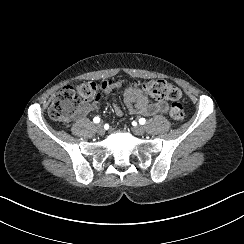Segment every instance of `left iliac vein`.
Returning <instances> with one entry per match:
<instances>
[{
  "instance_id": "obj_1",
  "label": "left iliac vein",
  "mask_w": 244,
  "mask_h": 244,
  "mask_svg": "<svg viewBox=\"0 0 244 244\" xmlns=\"http://www.w3.org/2000/svg\"><path fill=\"white\" fill-rule=\"evenodd\" d=\"M132 131L134 132L135 135L142 136L145 133V128L141 125H138V126H134L132 128Z\"/></svg>"
}]
</instances>
